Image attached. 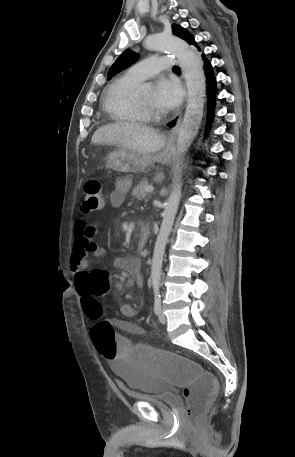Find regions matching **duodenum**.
Instances as JSON below:
<instances>
[{"label":"duodenum","instance_id":"obj_1","mask_svg":"<svg viewBox=\"0 0 295 457\" xmlns=\"http://www.w3.org/2000/svg\"><path fill=\"white\" fill-rule=\"evenodd\" d=\"M150 235V230L145 224H140V229H139V248L142 249L149 238Z\"/></svg>","mask_w":295,"mask_h":457}]
</instances>
